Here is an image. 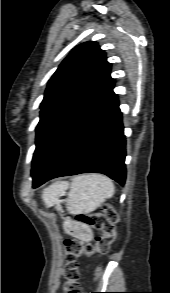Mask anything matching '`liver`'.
<instances>
[{
  "label": "liver",
  "mask_w": 170,
  "mask_h": 293,
  "mask_svg": "<svg viewBox=\"0 0 170 293\" xmlns=\"http://www.w3.org/2000/svg\"><path fill=\"white\" fill-rule=\"evenodd\" d=\"M68 183H61L60 185H58L59 188L61 189H65L67 188ZM60 191H56V192H51V189H47L43 195V199L46 202V204L52 203V201L55 199V197L57 196V194H59Z\"/></svg>",
  "instance_id": "6515ba94"
}]
</instances>
